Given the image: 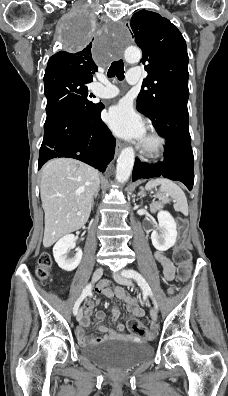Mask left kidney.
<instances>
[{
	"mask_svg": "<svg viewBox=\"0 0 228 396\" xmlns=\"http://www.w3.org/2000/svg\"><path fill=\"white\" fill-rule=\"evenodd\" d=\"M157 218L159 227L151 234L152 244L159 251H167L176 243V222L167 211H160Z\"/></svg>",
	"mask_w": 228,
	"mask_h": 396,
	"instance_id": "obj_1",
	"label": "left kidney"
}]
</instances>
